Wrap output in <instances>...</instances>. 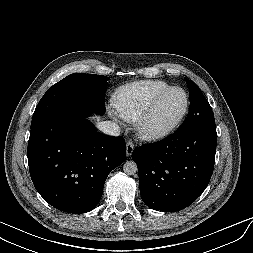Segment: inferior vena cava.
<instances>
[{
    "label": "inferior vena cava",
    "instance_id": "1",
    "mask_svg": "<svg viewBox=\"0 0 253 253\" xmlns=\"http://www.w3.org/2000/svg\"><path fill=\"white\" fill-rule=\"evenodd\" d=\"M97 128L104 134L119 136L120 127L118 124L112 121H102L97 124Z\"/></svg>",
    "mask_w": 253,
    "mask_h": 253
}]
</instances>
